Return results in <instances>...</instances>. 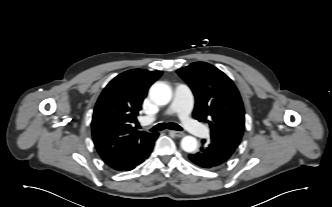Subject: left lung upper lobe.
Masks as SVG:
<instances>
[{
	"label": "left lung upper lobe",
	"instance_id": "1",
	"mask_svg": "<svg viewBox=\"0 0 332 207\" xmlns=\"http://www.w3.org/2000/svg\"><path fill=\"white\" fill-rule=\"evenodd\" d=\"M195 96L193 117L208 122L211 139L233 148L239 145L244 125V107L232 80L211 64L195 62L177 70Z\"/></svg>",
	"mask_w": 332,
	"mask_h": 207
}]
</instances>
